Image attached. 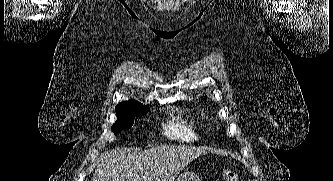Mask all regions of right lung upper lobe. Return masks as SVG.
Instances as JSON below:
<instances>
[{
    "mask_svg": "<svg viewBox=\"0 0 333 181\" xmlns=\"http://www.w3.org/2000/svg\"><path fill=\"white\" fill-rule=\"evenodd\" d=\"M143 107H147L135 100H129V101H124L119 103L118 105H116L115 110L116 112H123L126 110H131V109H138V108H143Z\"/></svg>",
    "mask_w": 333,
    "mask_h": 181,
    "instance_id": "1",
    "label": "right lung upper lobe"
}]
</instances>
